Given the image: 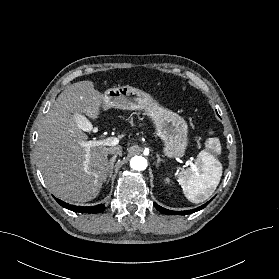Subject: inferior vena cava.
Segmentation results:
<instances>
[{"label": "inferior vena cava", "mask_w": 279, "mask_h": 279, "mask_svg": "<svg viewBox=\"0 0 279 279\" xmlns=\"http://www.w3.org/2000/svg\"><path fill=\"white\" fill-rule=\"evenodd\" d=\"M122 147L121 146H118V147H115V148H112L110 151H109V154H114V155H122Z\"/></svg>", "instance_id": "inferior-vena-cava-1"}]
</instances>
